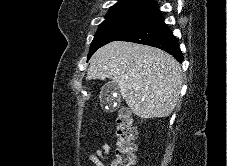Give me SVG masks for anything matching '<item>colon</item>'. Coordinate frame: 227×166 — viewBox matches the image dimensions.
<instances>
[{"label":"colon","instance_id":"1","mask_svg":"<svg viewBox=\"0 0 227 166\" xmlns=\"http://www.w3.org/2000/svg\"><path fill=\"white\" fill-rule=\"evenodd\" d=\"M116 150L109 166L135 165L136 131L129 110H121L115 123Z\"/></svg>","mask_w":227,"mask_h":166}]
</instances>
